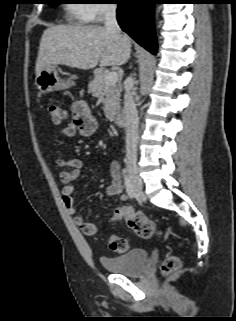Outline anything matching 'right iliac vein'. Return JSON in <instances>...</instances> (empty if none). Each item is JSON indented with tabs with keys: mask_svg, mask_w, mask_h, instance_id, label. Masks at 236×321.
Segmentation results:
<instances>
[{
	"mask_svg": "<svg viewBox=\"0 0 236 321\" xmlns=\"http://www.w3.org/2000/svg\"><path fill=\"white\" fill-rule=\"evenodd\" d=\"M127 168L129 177L132 183V186L137 194V196L141 199H144L142 188H143V182L139 176V171L136 163L133 160L127 161Z\"/></svg>",
	"mask_w": 236,
	"mask_h": 321,
	"instance_id": "63e3f726",
	"label": "right iliac vein"
}]
</instances>
